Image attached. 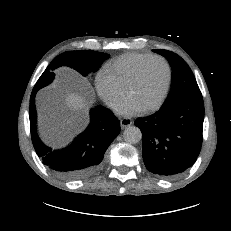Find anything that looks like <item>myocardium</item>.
Returning a JSON list of instances; mask_svg holds the SVG:
<instances>
[{
  "label": "myocardium",
  "mask_w": 231,
  "mask_h": 231,
  "mask_svg": "<svg viewBox=\"0 0 231 231\" xmlns=\"http://www.w3.org/2000/svg\"><path fill=\"white\" fill-rule=\"evenodd\" d=\"M152 60H160L161 62H163V64L165 65L166 67V71H167V77H166V82H165V85H164V88H163V91L160 95V97L158 98V100L153 103L152 105L146 107L143 109V111L145 112H151V111H154L156 109H158L162 103L164 102L167 94H168V91H169V88H170V83H171V76H172V73H171V68H170V65L169 63L167 62V60L161 56H158V55H152L150 57H148L146 60H144L136 69L134 75L132 76L131 80L129 81L128 85H127V88H126V95L128 96L130 91L132 90V88L137 84V82L139 81L140 77H141V74L143 72V69L145 68V66Z\"/></svg>",
  "instance_id": "myocardium-1"
}]
</instances>
